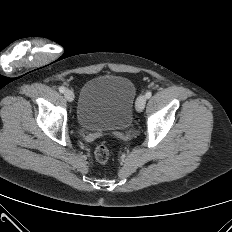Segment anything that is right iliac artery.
<instances>
[{
  "label": "right iliac artery",
  "instance_id": "1",
  "mask_svg": "<svg viewBox=\"0 0 232 232\" xmlns=\"http://www.w3.org/2000/svg\"><path fill=\"white\" fill-rule=\"evenodd\" d=\"M59 92H60V93H64V92H65V88H64V87H60V88H59Z\"/></svg>",
  "mask_w": 232,
  "mask_h": 232
}]
</instances>
